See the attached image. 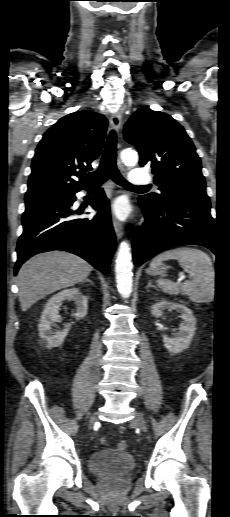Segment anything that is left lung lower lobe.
I'll return each instance as SVG.
<instances>
[{"label":"left lung lower lobe","mask_w":230,"mask_h":517,"mask_svg":"<svg viewBox=\"0 0 230 517\" xmlns=\"http://www.w3.org/2000/svg\"><path fill=\"white\" fill-rule=\"evenodd\" d=\"M146 222L132 240L133 258L140 266L156 254L176 246L201 245L217 254L209 198H183L160 207L139 199Z\"/></svg>","instance_id":"left-lung-lower-lobe-1"}]
</instances>
